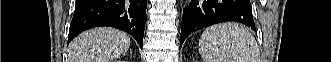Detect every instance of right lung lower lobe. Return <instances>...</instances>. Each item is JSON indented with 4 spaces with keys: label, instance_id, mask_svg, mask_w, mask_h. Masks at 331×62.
<instances>
[{
    "label": "right lung lower lobe",
    "instance_id": "98d812e1",
    "mask_svg": "<svg viewBox=\"0 0 331 62\" xmlns=\"http://www.w3.org/2000/svg\"><path fill=\"white\" fill-rule=\"evenodd\" d=\"M147 0H76L68 43L82 31L110 26L132 35L143 45Z\"/></svg>",
    "mask_w": 331,
    "mask_h": 62
}]
</instances>
